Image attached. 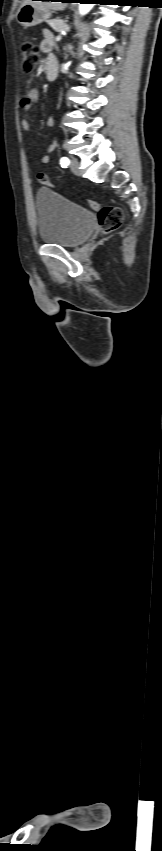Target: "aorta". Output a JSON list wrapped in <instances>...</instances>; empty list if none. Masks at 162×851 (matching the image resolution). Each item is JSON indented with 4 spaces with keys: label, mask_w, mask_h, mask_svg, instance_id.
I'll return each instance as SVG.
<instances>
[{
    "label": "aorta",
    "mask_w": 162,
    "mask_h": 851,
    "mask_svg": "<svg viewBox=\"0 0 162 851\" xmlns=\"http://www.w3.org/2000/svg\"><path fill=\"white\" fill-rule=\"evenodd\" d=\"M92 7H93V4H90V3L80 4L79 12H80L81 15H85L92 9Z\"/></svg>",
    "instance_id": "aorta-1"
}]
</instances>
